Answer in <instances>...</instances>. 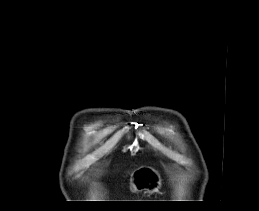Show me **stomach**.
<instances>
[{
    "mask_svg": "<svg viewBox=\"0 0 259 211\" xmlns=\"http://www.w3.org/2000/svg\"><path fill=\"white\" fill-rule=\"evenodd\" d=\"M161 187L159 173L152 167H140L135 170L130 179V190L133 192H157Z\"/></svg>",
    "mask_w": 259,
    "mask_h": 211,
    "instance_id": "obj_1",
    "label": "stomach"
}]
</instances>
